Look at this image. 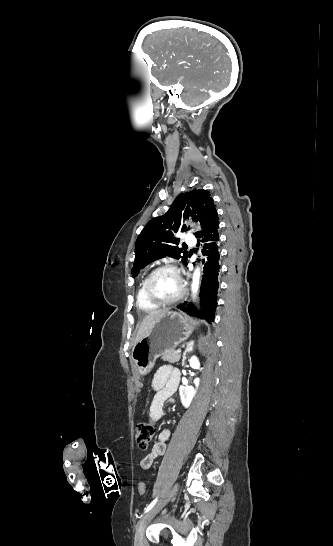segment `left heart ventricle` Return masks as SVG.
<instances>
[{
  "mask_svg": "<svg viewBox=\"0 0 333 546\" xmlns=\"http://www.w3.org/2000/svg\"><path fill=\"white\" fill-rule=\"evenodd\" d=\"M150 287L156 297L162 300H169L179 294L181 281L174 271L164 270L153 277Z\"/></svg>",
  "mask_w": 333,
  "mask_h": 546,
  "instance_id": "1",
  "label": "left heart ventricle"
}]
</instances>
